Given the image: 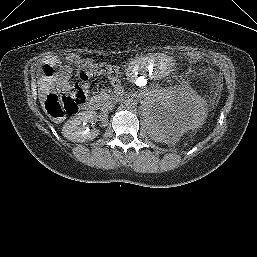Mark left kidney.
<instances>
[{
  "label": "left kidney",
  "instance_id": "obj_1",
  "mask_svg": "<svg viewBox=\"0 0 257 257\" xmlns=\"http://www.w3.org/2000/svg\"><path fill=\"white\" fill-rule=\"evenodd\" d=\"M145 110L151 137L164 143L177 142L186 131L200 127L206 116L203 100L189 88L160 91Z\"/></svg>",
  "mask_w": 257,
  "mask_h": 257
}]
</instances>
